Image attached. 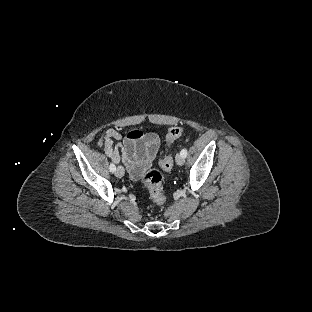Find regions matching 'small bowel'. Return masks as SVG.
<instances>
[{"instance_id": "c3829d8e", "label": "small bowel", "mask_w": 312, "mask_h": 312, "mask_svg": "<svg viewBox=\"0 0 312 312\" xmlns=\"http://www.w3.org/2000/svg\"><path fill=\"white\" fill-rule=\"evenodd\" d=\"M98 145L114 163L123 162L132 180H138L156 158L160 139L153 132L132 130L124 135L111 128L102 132Z\"/></svg>"}]
</instances>
